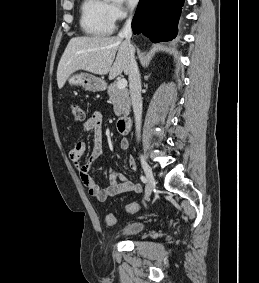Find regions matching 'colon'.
I'll return each instance as SVG.
<instances>
[{
    "label": "colon",
    "mask_w": 259,
    "mask_h": 283,
    "mask_svg": "<svg viewBox=\"0 0 259 283\" xmlns=\"http://www.w3.org/2000/svg\"><path fill=\"white\" fill-rule=\"evenodd\" d=\"M70 110L72 117L76 122H82L84 120V112L79 104L72 103L70 105ZM138 209L139 204L136 202H130L125 206V211L130 214L136 213ZM105 221L108 226H114L116 224L115 215L113 213H108L106 215Z\"/></svg>",
    "instance_id": "obj_1"
}]
</instances>
